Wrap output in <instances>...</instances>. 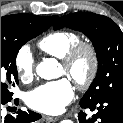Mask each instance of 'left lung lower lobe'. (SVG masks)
I'll list each match as a JSON object with an SVG mask.
<instances>
[{
  "label": "left lung lower lobe",
  "mask_w": 123,
  "mask_h": 123,
  "mask_svg": "<svg viewBox=\"0 0 123 123\" xmlns=\"http://www.w3.org/2000/svg\"><path fill=\"white\" fill-rule=\"evenodd\" d=\"M82 108L95 111L91 118L80 112L79 123H123V94L104 96L94 101H80Z\"/></svg>",
  "instance_id": "1"
}]
</instances>
